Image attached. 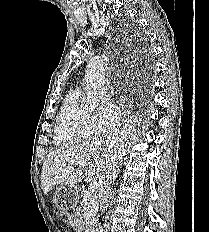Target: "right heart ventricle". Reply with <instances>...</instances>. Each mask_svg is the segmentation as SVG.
Returning <instances> with one entry per match:
<instances>
[{
  "label": "right heart ventricle",
  "mask_w": 209,
  "mask_h": 232,
  "mask_svg": "<svg viewBox=\"0 0 209 232\" xmlns=\"http://www.w3.org/2000/svg\"><path fill=\"white\" fill-rule=\"evenodd\" d=\"M80 92L71 91L65 98L57 117L54 143L57 146H70L89 140L96 133L92 115L79 104Z\"/></svg>",
  "instance_id": "right-heart-ventricle-1"
}]
</instances>
